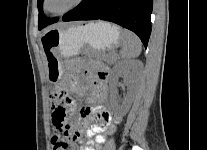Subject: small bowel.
<instances>
[{
    "label": "small bowel",
    "mask_w": 207,
    "mask_h": 150,
    "mask_svg": "<svg viewBox=\"0 0 207 150\" xmlns=\"http://www.w3.org/2000/svg\"><path fill=\"white\" fill-rule=\"evenodd\" d=\"M69 70L82 72L86 78V83H82L75 75H70L69 89L79 96L88 94L89 103H98L96 106L83 107L78 119L71 123V129L73 128L78 135L85 132L80 150H98V146L115 130L120 119L101 104L108 98V68L100 63L88 61L74 63L69 66ZM68 108L67 111L74 114L75 105L72 100L71 107ZM92 139L95 140L97 147L93 145Z\"/></svg>",
    "instance_id": "small-bowel-1"
}]
</instances>
